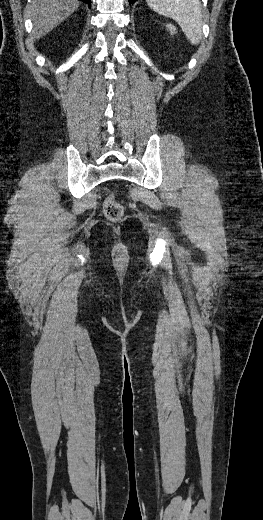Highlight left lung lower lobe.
Wrapping results in <instances>:
<instances>
[{
	"mask_svg": "<svg viewBox=\"0 0 263 520\" xmlns=\"http://www.w3.org/2000/svg\"><path fill=\"white\" fill-rule=\"evenodd\" d=\"M136 0H129V3L132 4L134 3Z\"/></svg>",
	"mask_w": 263,
	"mask_h": 520,
	"instance_id": "left-lung-lower-lobe-1",
	"label": "left lung lower lobe"
}]
</instances>
